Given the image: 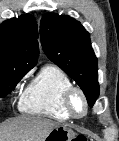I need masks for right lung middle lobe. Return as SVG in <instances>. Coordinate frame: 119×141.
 <instances>
[{
  "mask_svg": "<svg viewBox=\"0 0 119 141\" xmlns=\"http://www.w3.org/2000/svg\"><path fill=\"white\" fill-rule=\"evenodd\" d=\"M27 72H0V97L9 94Z\"/></svg>",
  "mask_w": 119,
  "mask_h": 141,
  "instance_id": "dd1d6c3e",
  "label": "right lung middle lobe"
}]
</instances>
